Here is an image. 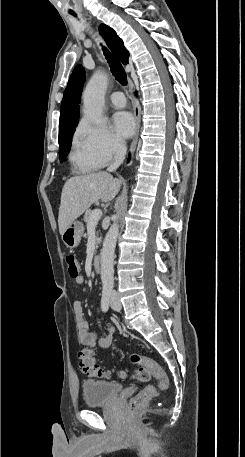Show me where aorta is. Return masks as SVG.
<instances>
[{
  "label": "aorta",
  "instance_id": "aorta-1",
  "mask_svg": "<svg viewBox=\"0 0 245 457\" xmlns=\"http://www.w3.org/2000/svg\"><path fill=\"white\" fill-rule=\"evenodd\" d=\"M108 86L106 74L97 71L88 82L83 95V113L94 124L103 123L104 96ZM119 232L118 220L111 225L101 249V280L103 286L114 283V257Z\"/></svg>",
  "mask_w": 245,
  "mask_h": 457
}]
</instances>
